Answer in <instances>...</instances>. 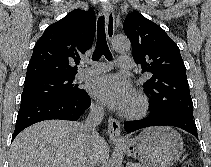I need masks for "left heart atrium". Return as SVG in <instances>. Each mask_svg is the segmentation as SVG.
Listing matches in <instances>:
<instances>
[{"mask_svg":"<svg viewBox=\"0 0 211 167\" xmlns=\"http://www.w3.org/2000/svg\"><path fill=\"white\" fill-rule=\"evenodd\" d=\"M89 92L102 103L117 110H126L131 102L129 85L116 76H101L90 81Z\"/></svg>","mask_w":211,"mask_h":167,"instance_id":"1","label":"left heart atrium"}]
</instances>
